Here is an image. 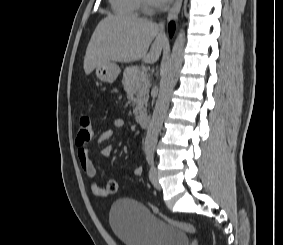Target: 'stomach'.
Segmentation results:
<instances>
[{"label":"stomach","mask_w":283,"mask_h":245,"mask_svg":"<svg viewBox=\"0 0 283 245\" xmlns=\"http://www.w3.org/2000/svg\"><path fill=\"white\" fill-rule=\"evenodd\" d=\"M120 73V68L115 62H107L96 67V76L103 82H114Z\"/></svg>","instance_id":"stomach-1"}]
</instances>
